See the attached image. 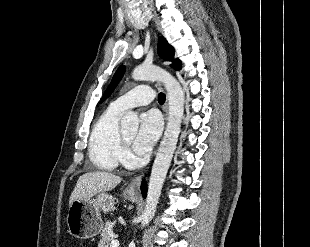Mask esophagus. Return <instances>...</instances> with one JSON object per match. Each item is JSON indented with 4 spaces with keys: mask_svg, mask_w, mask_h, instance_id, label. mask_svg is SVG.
Listing matches in <instances>:
<instances>
[{
    "mask_svg": "<svg viewBox=\"0 0 310 247\" xmlns=\"http://www.w3.org/2000/svg\"><path fill=\"white\" fill-rule=\"evenodd\" d=\"M165 111L167 113L168 111V104L166 102V105H165ZM142 178H143V174L142 175H139L135 178H133L129 184V188L135 192H137L139 190V187H140V184H141V181H142Z\"/></svg>",
    "mask_w": 310,
    "mask_h": 247,
    "instance_id": "1",
    "label": "esophagus"
}]
</instances>
